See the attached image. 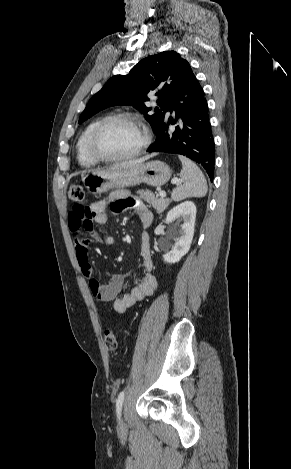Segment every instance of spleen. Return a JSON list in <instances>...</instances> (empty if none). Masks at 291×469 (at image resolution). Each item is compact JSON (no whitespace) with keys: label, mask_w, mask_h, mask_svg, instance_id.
Listing matches in <instances>:
<instances>
[{"label":"spleen","mask_w":291,"mask_h":469,"mask_svg":"<svg viewBox=\"0 0 291 469\" xmlns=\"http://www.w3.org/2000/svg\"><path fill=\"white\" fill-rule=\"evenodd\" d=\"M182 162L180 177L183 182L172 191L171 198L181 201L188 197H204L207 194V182L199 167L184 156H179Z\"/></svg>","instance_id":"1"}]
</instances>
